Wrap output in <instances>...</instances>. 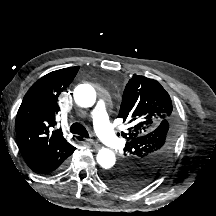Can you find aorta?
Masks as SVG:
<instances>
[{
    "mask_svg": "<svg viewBox=\"0 0 216 216\" xmlns=\"http://www.w3.org/2000/svg\"><path fill=\"white\" fill-rule=\"evenodd\" d=\"M75 103L83 108L92 107L96 102V92L94 88L88 84H82L75 88L74 93ZM97 163L103 169H110L114 166L116 157L113 151L108 148H102L97 153Z\"/></svg>",
    "mask_w": 216,
    "mask_h": 216,
    "instance_id": "1",
    "label": "aorta"
}]
</instances>
